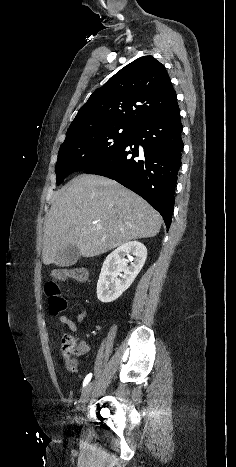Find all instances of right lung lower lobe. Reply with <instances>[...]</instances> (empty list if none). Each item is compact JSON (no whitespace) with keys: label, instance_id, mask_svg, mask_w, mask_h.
Masks as SVG:
<instances>
[{"label":"right lung lower lobe","instance_id":"1","mask_svg":"<svg viewBox=\"0 0 236 467\" xmlns=\"http://www.w3.org/2000/svg\"><path fill=\"white\" fill-rule=\"evenodd\" d=\"M182 129L175 103L135 127L122 147L83 172L114 179L134 191L161 214L169 229L184 146Z\"/></svg>","mask_w":236,"mask_h":467}]
</instances>
